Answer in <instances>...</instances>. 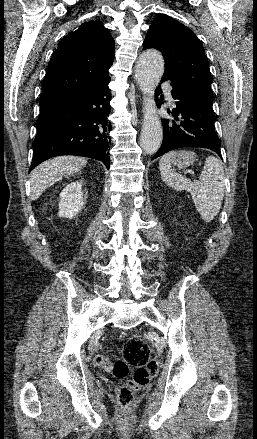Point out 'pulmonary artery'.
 Instances as JSON below:
<instances>
[{
    "instance_id": "1",
    "label": "pulmonary artery",
    "mask_w": 257,
    "mask_h": 439,
    "mask_svg": "<svg viewBox=\"0 0 257 439\" xmlns=\"http://www.w3.org/2000/svg\"><path fill=\"white\" fill-rule=\"evenodd\" d=\"M163 89L166 95V99L170 102V103H174L172 94H171V89L168 85H163Z\"/></svg>"
}]
</instances>
